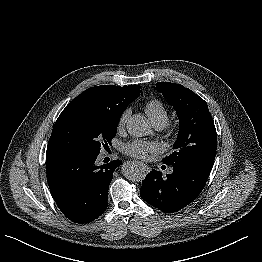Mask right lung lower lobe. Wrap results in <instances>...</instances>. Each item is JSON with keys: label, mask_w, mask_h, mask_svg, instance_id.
<instances>
[{"label": "right lung lower lobe", "mask_w": 262, "mask_h": 262, "mask_svg": "<svg viewBox=\"0 0 262 262\" xmlns=\"http://www.w3.org/2000/svg\"><path fill=\"white\" fill-rule=\"evenodd\" d=\"M97 155L47 154L50 192L61 212L75 223H88L107 208L108 187L120 160L96 165Z\"/></svg>", "instance_id": "98d812e1"}]
</instances>
